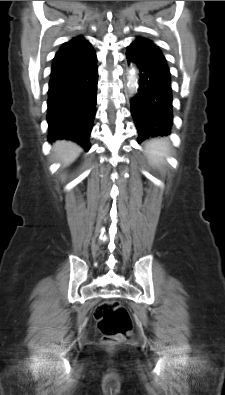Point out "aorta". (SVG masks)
<instances>
[{"label": "aorta", "instance_id": "obj_1", "mask_svg": "<svg viewBox=\"0 0 225 395\" xmlns=\"http://www.w3.org/2000/svg\"><path fill=\"white\" fill-rule=\"evenodd\" d=\"M127 86L131 94H135L138 89V76L137 71L134 67H130L127 73Z\"/></svg>", "mask_w": 225, "mask_h": 395}]
</instances>
